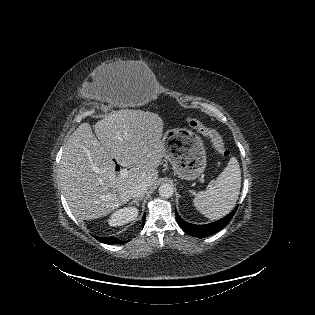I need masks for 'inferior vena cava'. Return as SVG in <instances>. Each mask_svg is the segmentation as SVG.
I'll list each match as a JSON object with an SVG mask.
<instances>
[{
	"mask_svg": "<svg viewBox=\"0 0 315 315\" xmlns=\"http://www.w3.org/2000/svg\"><path fill=\"white\" fill-rule=\"evenodd\" d=\"M149 187H150V184L147 182H142L136 185L131 192L132 197L135 199L143 197L145 193L147 192V190L149 189Z\"/></svg>",
	"mask_w": 315,
	"mask_h": 315,
	"instance_id": "1",
	"label": "inferior vena cava"
}]
</instances>
